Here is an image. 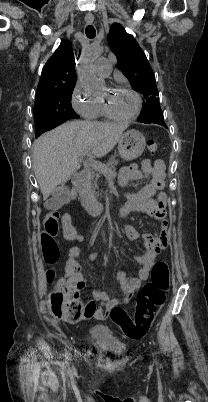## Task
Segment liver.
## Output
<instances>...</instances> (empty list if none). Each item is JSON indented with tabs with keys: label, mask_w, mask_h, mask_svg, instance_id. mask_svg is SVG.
I'll return each instance as SVG.
<instances>
[{
	"label": "liver",
	"mask_w": 208,
	"mask_h": 402,
	"mask_svg": "<svg viewBox=\"0 0 208 402\" xmlns=\"http://www.w3.org/2000/svg\"><path fill=\"white\" fill-rule=\"evenodd\" d=\"M128 124H100V122H66L46 132L33 144V170L43 200L49 198L56 186L70 180L79 170V156L92 150L96 158L113 150Z\"/></svg>",
	"instance_id": "liver-1"
}]
</instances>
